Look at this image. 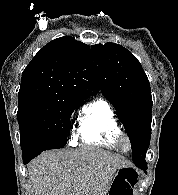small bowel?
Returning <instances> with one entry per match:
<instances>
[{"label": "small bowel", "instance_id": "c3829d8e", "mask_svg": "<svg viewBox=\"0 0 178 195\" xmlns=\"http://www.w3.org/2000/svg\"><path fill=\"white\" fill-rule=\"evenodd\" d=\"M118 193H119L118 195H132L131 191L128 190L127 188H122V190H120Z\"/></svg>", "mask_w": 178, "mask_h": 195}]
</instances>
